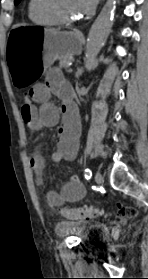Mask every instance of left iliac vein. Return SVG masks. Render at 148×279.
<instances>
[{"label": "left iliac vein", "instance_id": "4c4485c4", "mask_svg": "<svg viewBox=\"0 0 148 279\" xmlns=\"http://www.w3.org/2000/svg\"><path fill=\"white\" fill-rule=\"evenodd\" d=\"M95 180L98 185L102 184L103 178H102V175L100 174V172H98V171L95 173Z\"/></svg>", "mask_w": 148, "mask_h": 279}]
</instances>
